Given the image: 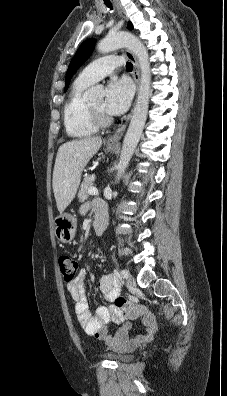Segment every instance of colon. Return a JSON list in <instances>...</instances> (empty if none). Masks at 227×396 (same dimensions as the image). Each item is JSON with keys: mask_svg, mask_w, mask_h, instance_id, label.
<instances>
[{"mask_svg": "<svg viewBox=\"0 0 227 396\" xmlns=\"http://www.w3.org/2000/svg\"><path fill=\"white\" fill-rule=\"evenodd\" d=\"M59 267L62 273L63 279L66 283H71L75 276L78 267V263L72 257L62 256L59 258ZM128 303V301L121 297L117 299L116 305L119 307H123Z\"/></svg>", "mask_w": 227, "mask_h": 396, "instance_id": "1", "label": "colon"}]
</instances>
